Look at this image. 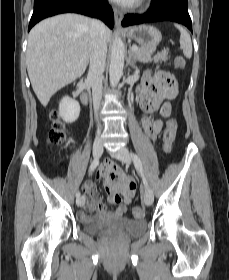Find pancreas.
<instances>
[{"instance_id": "obj_1", "label": "pancreas", "mask_w": 229, "mask_h": 280, "mask_svg": "<svg viewBox=\"0 0 229 280\" xmlns=\"http://www.w3.org/2000/svg\"><path fill=\"white\" fill-rule=\"evenodd\" d=\"M154 50L138 48L137 52L132 53L134 61L148 63V62H165L168 60V50H162L158 52L154 57H152Z\"/></svg>"}]
</instances>
